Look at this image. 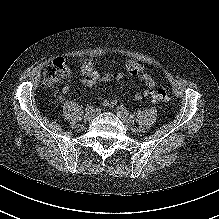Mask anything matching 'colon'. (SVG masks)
I'll return each instance as SVG.
<instances>
[{"label":"colon","instance_id":"colon-1","mask_svg":"<svg viewBox=\"0 0 219 219\" xmlns=\"http://www.w3.org/2000/svg\"><path fill=\"white\" fill-rule=\"evenodd\" d=\"M70 73L71 69L66 59L62 57L55 58L44 71V83L46 86H53L69 76ZM151 97L155 102H167L169 100V94L164 89L153 91Z\"/></svg>","mask_w":219,"mask_h":219}]
</instances>
